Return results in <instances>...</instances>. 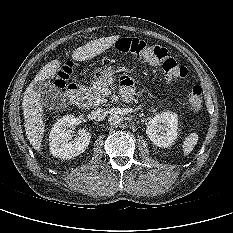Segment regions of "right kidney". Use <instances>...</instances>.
Here are the masks:
<instances>
[{
	"label": "right kidney",
	"instance_id": "1",
	"mask_svg": "<svg viewBox=\"0 0 233 233\" xmlns=\"http://www.w3.org/2000/svg\"><path fill=\"white\" fill-rule=\"evenodd\" d=\"M76 125L74 115H65L53 125L49 135V148L53 156L60 159H73L83 153L91 139V134L86 129H80L78 136L72 141L71 132Z\"/></svg>",
	"mask_w": 233,
	"mask_h": 233
}]
</instances>
